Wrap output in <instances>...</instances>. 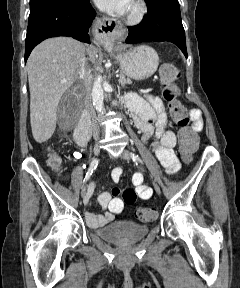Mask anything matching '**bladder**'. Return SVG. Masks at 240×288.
Listing matches in <instances>:
<instances>
[{
    "label": "bladder",
    "instance_id": "obj_1",
    "mask_svg": "<svg viewBox=\"0 0 240 288\" xmlns=\"http://www.w3.org/2000/svg\"><path fill=\"white\" fill-rule=\"evenodd\" d=\"M149 232L147 225L114 221L96 230L103 239L116 243H130L144 238Z\"/></svg>",
    "mask_w": 240,
    "mask_h": 288
}]
</instances>
